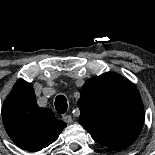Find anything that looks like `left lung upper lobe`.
<instances>
[{"label": "left lung upper lobe", "mask_w": 155, "mask_h": 155, "mask_svg": "<svg viewBox=\"0 0 155 155\" xmlns=\"http://www.w3.org/2000/svg\"><path fill=\"white\" fill-rule=\"evenodd\" d=\"M79 123L110 149H125L139 136L144 108L136 87L123 76L106 72L90 78L78 100Z\"/></svg>", "instance_id": "1"}]
</instances>
